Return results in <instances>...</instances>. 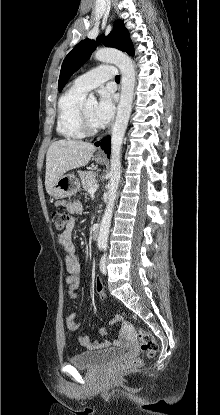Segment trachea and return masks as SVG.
<instances>
[{
    "label": "trachea",
    "mask_w": 220,
    "mask_h": 415,
    "mask_svg": "<svg viewBox=\"0 0 220 415\" xmlns=\"http://www.w3.org/2000/svg\"><path fill=\"white\" fill-rule=\"evenodd\" d=\"M115 81H116V82H120V76H119V75H117V76L115 77Z\"/></svg>",
    "instance_id": "obj_1"
}]
</instances>
